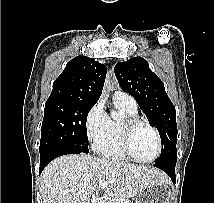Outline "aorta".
Listing matches in <instances>:
<instances>
[{
  "mask_svg": "<svg viewBox=\"0 0 214 203\" xmlns=\"http://www.w3.org/2000/svg\"><path fill=\"white\" fill-rule=\"evenodd\" d=\"M111 117L116 120L119 117V114L116 111H111Z\"/></svg>",
  "mask_w": 214,
  "mask_h": 203,
  "instance_id": "762f6f07",
  "label": "aorta"
}]
</instances>
